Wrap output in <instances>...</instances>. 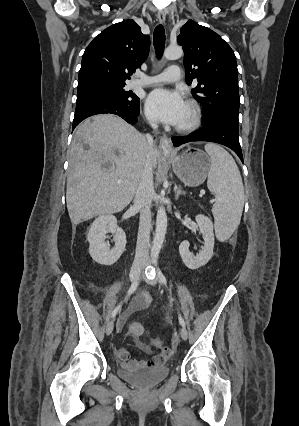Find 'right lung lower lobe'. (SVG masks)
Here are the masks:
<instances>
[{"instance_id": "obj_1", "label": "right lung lower lobe", "mask_w": 299, "mask_h": 426, "mask_svg": "<svg viewBox=\"0 0 299 426\" xmlns=\"http://www.w3.org/2000/svg\"><path fill=\"white\" fill-rule=\"evenodd\" d=\"M139 110V102L130 105L108 95L83 93L77 95L72 129L85 118L104 113L118 115L128 123L135 124L137 122L136 117L139 115Z\"/></svg>"}]
</instances>
